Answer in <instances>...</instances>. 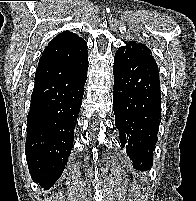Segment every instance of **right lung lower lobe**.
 Returning a JSON list of instances; mask_svg holds the SVG:
<instances>
[{"label":"right lung lower lobe","instance_id":"right-lung-lower-lobe-1","mask_svg":"<svg viewBox=\"0 0 196 201\" xmlns=\"http://www.w3.org/2000/svg\"><path fill=\"white\" fill-rule=\"evenodd\" d=\"M88 60L38 66L27 117L25 154L32 179L49 189L61 176L73 148Z\"/></svg>","mask_w":196,"mask_h":201}]
</instances>
